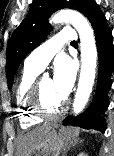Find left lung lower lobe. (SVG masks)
I'll return each mask as SVG.
<instances>
[{
    "label": "left lung lower lobe",
    "instance_id": "0a47b994",
    "mask_svg": "<svg viewBox=\"0 0 114 156\" xmlns=\"http://www.w3.org/2000/svg\"><path fill=\"white\" fill-rule=\"evenodd\" d=\"M88 19L94 29L99 57V72L94 98L88 109L77 117L68 116L64 125L79 126L105 132V110L109 106L108 91L111 88V73L114 71V46L112 33L108 28L105 15L95 3Z\"/></svg>",
    "mask_w": 114,
    "mask_h": 156
}]
</instances>
